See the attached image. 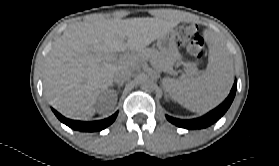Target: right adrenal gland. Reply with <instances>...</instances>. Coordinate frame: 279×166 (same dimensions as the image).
Instances as JSON below:
<instances>
[{"mask_svg": "<svg viewBox=\"0 0 279 166\" xmlns=\"http://www.w3.org/2000/svg\"><path fill=\"white\" fill-rule=\"evenodd\" d=\"M117 86H118V92L120 91V88L122 87L123 85V82H120V83H115ZM113 84V85H115Z\"/></svg>", "mask_w": 279, "mask_h": 166, "instance_id": "1", "label": "right adrenal gland"}]
</instances>
